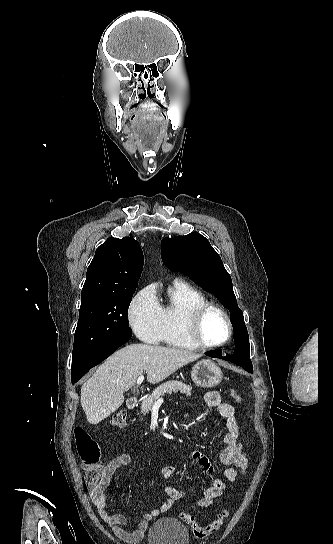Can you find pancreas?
I'll use <instances>...</instances> for the list:
<instances>
[{"label": "pancreas", "instance_id": "1", "mask_svg": "<svg viewBox=\"0 0 333 544\" xmlns=\"http://www.w3.org/2000/svg\"><path fill=\"white\" fill-rule=\"evenodd\" d=\"M192 388L180 381H168L157 387L150 396L145 398L141 403V413H148L156 400H158L164 394H171L172 392H180L186 396H191Z\"/></svg>", "mask_w": 333, "mask_h": 544}]
</instances>
